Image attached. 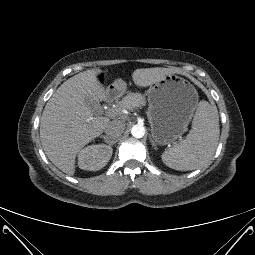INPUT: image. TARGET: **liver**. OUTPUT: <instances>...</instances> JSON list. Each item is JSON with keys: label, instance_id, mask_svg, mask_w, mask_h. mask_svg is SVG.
I'll use <instances>...</instances> for the list:
<instances>
[{"label": "liver", "instance_id": "obj_1", "mask_svg": "<svg viewBox=\"0 0 255 255\" xmlns=\"http://www.w3.org/2000/svg\"><path fill=\"white\" fill-rule=\"evenodd\" d=\"M102 70L81 72L65 81L46 103L40 120V139L49 160L69 176L75 174V159L79 151L102 134L110 122L98 116L86 105H95L108 98V89L100 81ZM179 73L174 68L136 69L132 79L137 86L147 87L168 74Z\"/></svg>", "mask_w": 255, "mask_h": 255}]
</instances>
